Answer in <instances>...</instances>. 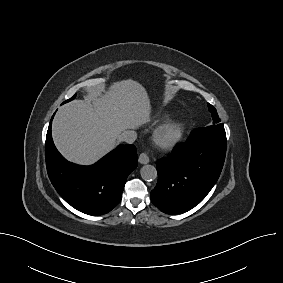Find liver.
Instances as JSON below:
<instances>
[{
  "instance_id": "obj_1",
  "label": "liver",
  "mask_w": 283,
  "mask_h": 283,
  "mask_svg": "<svg viewBox=\"0 0 283 283\" xmlns=\"http://www.w3.org/2000/svg\"><path fill=\"white\" fill-rule=\"evenodd\" d=\"M145 88L131 79L114 83L104 96L62 106L52 125L54 143L69 161L90 165L112 150L119 135L150 121Z\"/></svg>"
}]
</instances>
